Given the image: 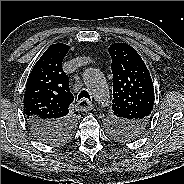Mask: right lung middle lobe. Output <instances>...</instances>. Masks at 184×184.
Instances as JSON below:
<instances>
[{
    "label": "right lung middle lobe",
    "mask_w": 184,
    "mask_h": 184,
    "mask_svg": "<svg viewBox=\"0 0 184 184\" xmlns=\"http://www.w3.org/2000/svg\"><path fill=\"white\" fill-rule=\"evenodd\" d=\"M74 127H75V126H74ZM73 130H74V129L69 130V132H68L67 134H64V136H61L60 138H58L57 141L54 142L53 145L59 144V143H63V142H65L66 140H68V139L70 138V136H71Z\"/></svg>",
    "instance_id": "obj_1"
}]
</instances>
